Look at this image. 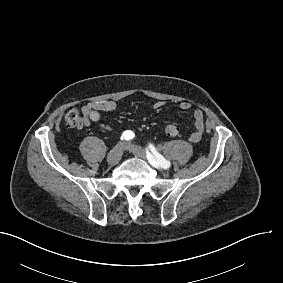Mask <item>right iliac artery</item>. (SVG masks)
<instances>
[{
    "mask_svg": "<svg viewBox=\"0 0 283 283\" xmlns=\"http://www.w3.org/2000/svg\"><path fill=\"white\" fill-rule=\"evenodd\" d=\"M135 137V134L131 130H126L121 136V140H131Z\"/></svg>",
    "mask_w": 283,
    "mask_h": 283,
    "instance_id": "obj_1",
    "label": "right iliac artery"
}]
</instances>
